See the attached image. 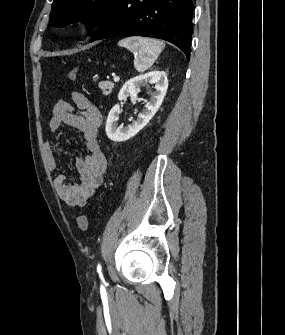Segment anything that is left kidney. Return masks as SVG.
Instances as JSON below:
<instances>
[{"instance_id": "obj_1", "label": "left kidney", "mask_w": 285, "mask_h": 335, "mask_svg": "<svg viewBox=\"0 0 285 335\" xmlns=\"http://www.w3.org/2000/svg\"><path fill=\"white\" fill-rule=\"evenodd\" d=\"M144 84H156V92L150 102L145 100V110H142L141 114H138L137 120H135L131 126H127V128L118 126L119 114H121L122 110H120L119 104L111 108L106 122V134L109 140H113V142H126L129 138H133V136H136V134L148 124L149 120L156 114L158 108H160L164 96H166L168 80L165 72H157V70L128 80V82L122 86L118 94L119 102L126 100L128 96H136V94H139V92H141L140 88L144 86Z\"/></svg>"}]
</instances>
